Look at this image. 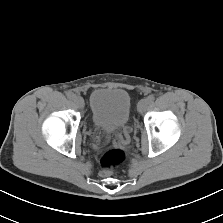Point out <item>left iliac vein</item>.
Returning <instances> with one entry per match:
<instances>
[{"label": "left iliac vein", "instance_id": "1", "mask_svg": "<svg viewBox=\"0 0 223 223\" xmlns=\"http://www.w3.org/2000/svg\"><path fill=\"white\" fill-rule=\"evenodd\" d=\"M148 100L147 99H141L137 105V110L139 113L145 112L147 106H148Z\"/></svg>", "mask_w": 223, "mask_h": 223}]
</instances>
